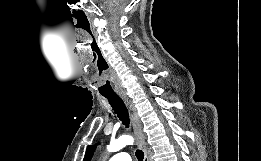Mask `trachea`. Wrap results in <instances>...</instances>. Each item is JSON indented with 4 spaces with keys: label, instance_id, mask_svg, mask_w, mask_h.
<instances>
[{
    "label": "trachea",
    "instance_id": "obj_1",
    "mask_svg": "<svg viewBox=\"0 0 261 161\" xmlns=\"http://www.w3.org/2000/svg\"><path fill=\"white\" fill-rule=\"evenodd\" d=\"M107 98L109 104L113 108L114 112L117 114L118 118L122 121L123 125L129 126V115L128 110L123 102V100L118 95H104ZM136 157L138 161H143L144 152L142 150L136 151Z\"/></svg>",
    "mask_w": 261,
    "mask_h": 161
}]
</instances>
